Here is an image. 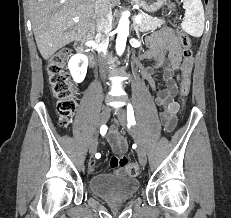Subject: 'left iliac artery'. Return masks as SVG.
<instances>
[{
  "label": "left iliac artery",
  "instance_id": "44dca946",
  "mask_svg": "<svg viewBox=\"0 0 231 218\" xmlns=\"http://www.w3.org/2000/svg\"><path fill=\"white\" fill-rule=\"evenodd\" d=\"M127 117H128V124L129 125H134L136 123L135 118H134V111H133L131 104H128V106H127Z\"/></svg>",
  "mask_w": 231,
  "mask_h": 218
}]
</instances>
